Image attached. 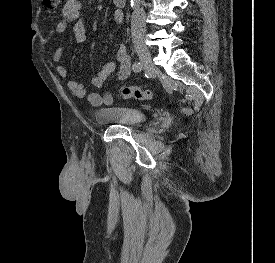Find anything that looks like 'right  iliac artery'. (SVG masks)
Segmentation results:
<instances>
[{
	"label": "right iliac artery",
	"instance_id": "1",
	"mask_svg": "<svg viewBox=\"0 0 275 263\" xmlns=\"http://www.w3.org/2000/svg\"><path fill=\"white\" fill-rule=\"evenodd\" d=\"M141 69H142V66H141V64L139 62H135L133 64V70H134V72H139Z\"/></svg>",
	"mask_w": 275,
	"mask_h": 263
}]
</instances>
